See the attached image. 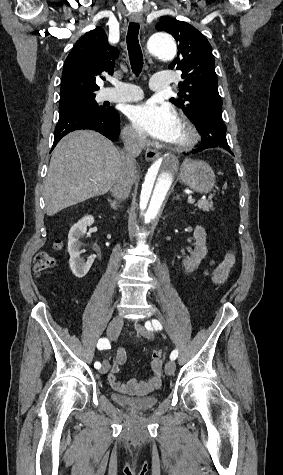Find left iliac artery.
<instances>
[{"label": "left iliac artery", "instance_id": "1", "mask_svg": "<svg viewBox=\"0 0 283 475\" xmlns=\"http://www.w3.org/2000/svg\"><path fill=\"white\" fill-rule=\"evenodd\" d=\"M152 325H153L155 330H161L162 329V325L160 324V322L158 320H152ZM152 325L149 321H147L145 323V327L149 330L153 329ZM177 356H178V350L175 349L171 352L170 359L175 360L177 358Z\"/></svg>", "mask_w": 283, "mask_h": 475}]
</instances>
